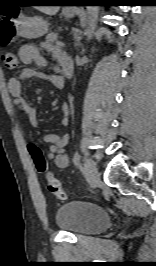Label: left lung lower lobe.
I'll return each instance as SVG.
<instances>
[{
  "label": "left lung lower lobe",
  "instance_id": "left-lung-lower-lobe-1",
  "mask_svg": "<svg viewBox=\"0 0 156 266\" xmlns=\"http://www.w3.org/2000/svg\"><path fill=\"white\" fill-rule=\"evenodd\" d=\"M113 1L111 0H80L79 6H87L90 4H96L99 6H110L108 4L112 3Z\"/></svg>",
  "mask_w": 156,
  "mask_h": 266
}]
</instances>
